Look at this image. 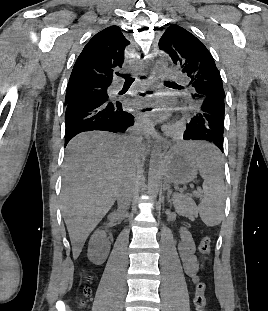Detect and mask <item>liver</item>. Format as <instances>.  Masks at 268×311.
Masks as SVG:
<instances>
[{"instance_id": "6515ba94", "label": "liver", "mask_w": 268, "mask_h": 311, "mask_svg": "<svg viewBox=\"0 0 268 311\" xmlns=\"http://www.w3.org/2000/svg\"><path fill=\"white\" fill-rule=\"evenodd\" d=\"M132 149L128 139L102 131L79 134L68 144L61 200L74 259L119 196Z\"/></svg>"}]
</instances>
